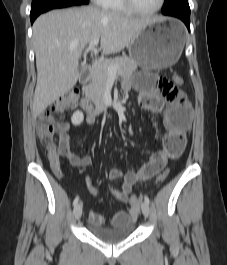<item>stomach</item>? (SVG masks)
Masks as SVG:
<instances>
[{"label":"stomach","mask_w":227,"mask_h":265,"mask_svg":"<svg viewBox=\"0 0 227 265\" xmlns=\"http://www.w3.org/2000/svg\"><path fill=\"white\" fill-rule=\"evenodd\" d=\"M185 43V29L175 19L149 23L128 45L129 56L140 67L161 70L179 59Z\"/></svg>","instance_id":"0dacf381"}]
</instances>
